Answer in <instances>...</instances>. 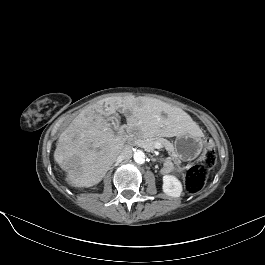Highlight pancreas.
<instances>
[{
  "label": "pancreas",
  "mask_w": 265,
  "mask_h": 265,
  "mask_svg": "<svg viewBox=\"0 0 265 265\" xmlns=\"http://www.w3.org/2000/svg\"><path fill=\"white\" fill-rule=\"evenodd\" d=\"M135 142L142 148H144L148 152H153L155 149V143L159 142L161 145L168 151L170 157L176 161V153L174 145L168 141L167 139L161 137H152L148 139L137 138Z\"/></svg>",
  "instance_id": "cf45deb5"
}]
</instances>
